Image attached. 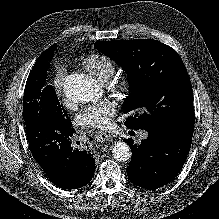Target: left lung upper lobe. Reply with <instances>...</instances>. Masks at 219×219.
<instances>
[{
	"instance_id": "left-lung-upper-lobe-1",
	"label": "left lung upper lobe",
	"mask_w": 219,
	"mask_h": 219,
	"mask_svg": "<svg viewBox=\"0 0 219 219\" xmlns=\"http://www.w3.org/2000/svg\"><path fill=\"white\" fill-rule=\"evenodd\" d=\"M94 46L125 69L130 94L123 113L131 129L168 132L194 126L193 91L178 53L154 39L97 42Z\"/></svg>"
}]
</instances>
